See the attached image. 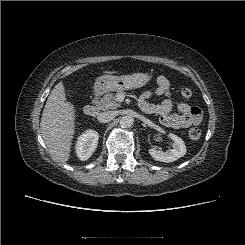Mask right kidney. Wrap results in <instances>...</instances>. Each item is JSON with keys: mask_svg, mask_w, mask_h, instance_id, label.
I'll return each instance as SVG.
<instances>
[{"mask_svg": "<svg viewBox=\"0 0 245 245\" xmlns=\"http://www.w3.org/2000/svg\"><path fill=\"white\" fill-rule=\"evenodd\" d=\"M98 139V132L92 129L80 135L75 147L77 157L82 161L88 160L97 148Z\"/></svg>", "mask_w": 245, "mask_h": 245, "instance_id": "right-kidney-1", "label": "right kidney"}]
</instances>
